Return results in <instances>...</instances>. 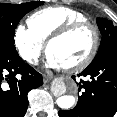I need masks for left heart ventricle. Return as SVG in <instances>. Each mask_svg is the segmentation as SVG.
Returning a JSON list of instances; mask_svg holds the SVG:
<instances>
[{
    "mask_svg": "<svg viewBox=\"0 0 117 117\" xmlns=\"http://www.w3.org/2000/svg\"><path fill=\"white\" fill-rule=\"evenodd\" d=\"M92 44V31L82 29L53 43L49 49V55L61 62L66 68L83 60L91 50Z\"/></svg>",
    "mask_w": 117,
    "mask_h": 117,
    "instance_id": "b2bd125f",
    "label": "left heart ventricle"
}]
</instances>
